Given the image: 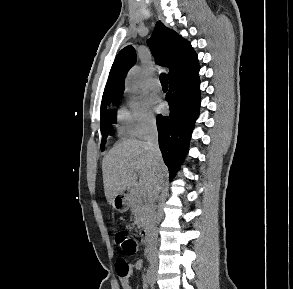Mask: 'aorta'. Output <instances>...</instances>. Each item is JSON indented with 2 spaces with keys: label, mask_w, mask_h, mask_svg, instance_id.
Returning a JSON list of instances; mask_svg holds the SVG:
<instances>
[{
  "label": "aorta",
  "mask_w": 293,
  "mask_h": 289,
  "mask_svg": "<svg viewBox=\"0 0 293 289\" xmlns=\"http://www.w3.org/2000/svg\"><path fill=\"white\" fill-rule=\"evenodd\" d=\"M140 83V68L136 66L133 67L128 73L125 85L128 90L137 91L140 87Z\"/></svg>",
  "instance_id": "aorta-1"
}]
</instances>
